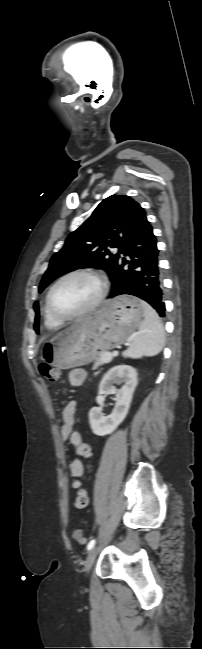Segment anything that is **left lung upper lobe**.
Segmentation results:
<instances>
[{"label": "left lung upper lobe", "instance_id": "left-lung-upper-lobe-1", "mask_svg": "<svg viewBox=\"0 0 202 649\" xmlns=\"http://www.w3.org/2000/svg\"><path fill=\"white\" fill-rule=\"evenodd\" d=\"M144 216V209L129 196L111 195L104 199L92 215L68 236L64 247L52 256L39 292L58 276L79 268H104L111 274L120 254L111 253L109 248L120 249L126 235ZM34 310V329L38 333V302L34 303Z\"/></svg>", "mask_w": 202, "mask_h": 649}]
</instances>
